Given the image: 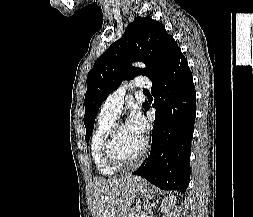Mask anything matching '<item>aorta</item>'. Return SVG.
Wrapping results in <instances>:
<instances>
[{
  "label": "aorta",
  "instance_id": "1",
  "mask_svg": "<svg viewBox=\"0 0 253 217\" xmlns=\"http://www.w3.org/2000/svg\"><path fill=\"white\" fill-rule=\"evenodd\" d=\"M139 66L144 67V65H143V64H141V65L139 64Z\"/></svg>",
  "mask_w": 253,
  "mask_h": 217
}]
</instances>
